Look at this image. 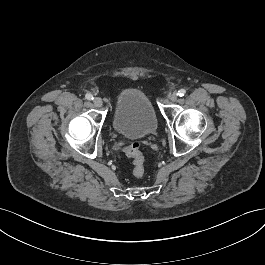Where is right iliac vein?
Returning a JSON list of instances; mask_svg holds the SVG:
<instances>
[{
	"label": "right iliac vein",
	"instance_id": "right-iliac-vein-1",
	"mask_svg": "<svg viewBox=\"0 0 265 265\" xmlns=\"http://www.w3.org/2000/svg\"><path fill=\"white\" fill-rule=\"evenodd\" d=\"M93 103L97 107H101L103 105L102 99L99 97H96L93 99Z\"/></svg>",
	"mask_w": 265,
	"mask_h": 265
}]
</instances>
